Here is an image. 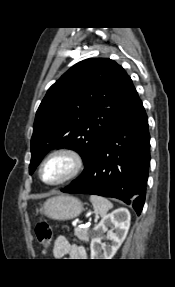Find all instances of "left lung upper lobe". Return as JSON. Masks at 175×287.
Here are the masks:
<instances>
[{"mask_svg": "<svg viewBox=\"0 0 175 287\" xmlns=\"http://www.w3.org/2000/svg\"><path fill=\"white\" fill-rule=\"evenodd\" d=\"M138 99L131 78L113 60L91 58L75 64L49 88L37 110L30 174L49 150L65 147L81 155L85 168L76 180L81 178L101 141Z\"/></svg>", "mask_w": 175, "mask_h": 287, "instance_id": "1", "label": "left lung upper lobe"}]
</instances>
